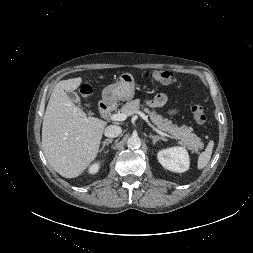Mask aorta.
Returning a JSON list of instances; mask_svg holds the SVG:
<instances>
[{
    "mask_svg": "<svg viewBox=\"0 0 253 253\" xmlns=\"http://www.w3.org/2000/svg\"><path fill=\"white\" fill-rule=\"evenodd\" d=\"M141 145V140L138 136H131L127 141V146L130 149H137Z\"/></svg>",
    "mask_w": 253,
    "mask_h": 253,
    "instance_id": "obj_1",
    "label": "aorta"
}]
</instances>
